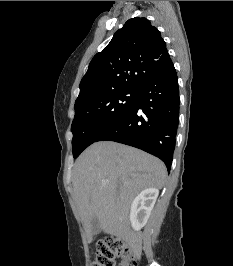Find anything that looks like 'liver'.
Segmentation results:
<instances>
[{"label":"liver","instance_id":"obj_1","mask_svg":"<svg viewBox=\"0 0 233 266\" xmlns=\"http://www.w3.org/2000/svg\"><path fill=\"white\" fill-rule=\"evenodd\" d=\"M166 175L161 160L137 148L113 141L89 146L75 162L72 184L90 241L95 235L92 220L97 218L100 231L133 245L138 237L130 228L132 201L143 189L162 188Z\"/></svg>","mask_w":233,"mask_h":266}]
</instances>
